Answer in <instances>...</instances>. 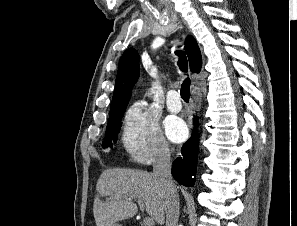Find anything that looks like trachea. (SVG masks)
Returning <instances> with one entry per match:
<instances>
[{"instance_id":"trachea-1","label":"trachea","mask_w":297,"mask_h":226,"mask_svg":"<svg viewBox=\"0 0 297 226\" xmlns=\"http://www.w3.org/2000/svg\"><path fill=\"white\" fill-rule=\"evenodd\" d=\"M175 53L179 57L178 66H179L180 70L183 72H187L188 71V62H187L185 53L181 50L175 51ZM180 94L185 102L189 101V97H190V79L189 78H186L183 81Z\"/></svg>"}]
</instances>
